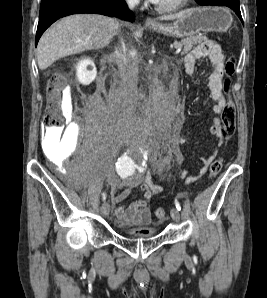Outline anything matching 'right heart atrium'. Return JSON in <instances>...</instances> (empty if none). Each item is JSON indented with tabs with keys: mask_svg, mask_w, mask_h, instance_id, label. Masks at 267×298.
Masks as SVG:
<instances>
[{
	"mask_svg": "<svg viewBox=\"0 0 267 298\" xmlns=\"http://www.w3.org/2000/svg\"><path fill=\"white\" fill-rule=\"evenodd\" d=\"M130 4H138L140 0H127Z\"/></svg>",
	"mask_w": 267,
	"mask_h": 298,
	"instance_id": "right-heart-atrium-1",
	"label": "right heart atrium"
}]
</instances>
